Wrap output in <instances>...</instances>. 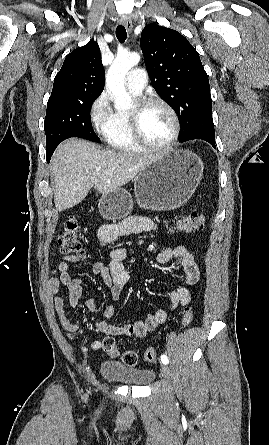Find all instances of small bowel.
Listing matches in <instances>:
<instances>
[{
  "mask_svg": "<svg viewBox=\"0 0 269 445\" xmlns=\"http://www.w3.org/2000/svg\"><path fill=\"white\" fill-rule=\"evenodd\" d=\"M155 228L156 224L152 219L134 215L120 222L101 226L98 230L97 238L101 245H105L118 237L133 233L148 232ZM78 259L79 258L75 256L63 255L57 267L52 270V277L49 281V289L54 295V305L58 318L70 339H72L73 333L78 331L79 326L71 322L68 317L65 300L61 295V287L64 286L67 288L69 304L75 307L83 294V281L80 278L73 277L69 263L77 261ZM175 259L180 261L186 284H196L200 279V271L194 257L185 245L180 244L174 248H166L157 256V261L161 264L169 263ZM127 262V251L123 248H116L110 252L107 263L99 261L94 263L91 268L93 274L99 275L102 278L114 300L119 298L122 289L129 283L130 276L127 270ZM168 297L171 310L188 305L192 298L190 290L185 286L170 290ZM86 308L91 313L95 311L96 299L94 296H90L86 300ZM112 315L113 308L109 305L106 308L105 316L106 318H110ZM166 318V310L160 308L149 315L144 321L125 326H116L107 321H96L95 327L98 331L106 335L143 337L163 324ZM101 347L102 342L100 340L96 339L90 342V348L92 350H99Z\"/></svg>",
  "mask_w": 269,
  "mask_h": 445,
  "instance_id": "obj_1",
  "label": "small bowel"
}]
</instances>
